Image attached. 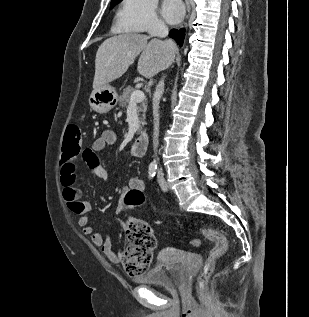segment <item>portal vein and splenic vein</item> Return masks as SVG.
<instances>
[{
	"label": "portal vein and splenic vein",
	"mask_w": 309,
	"mask_h": 317,
	"mask_svg": "<svg viewBox=\"0 0 309 317\" xmlns=\"http://www.w3.org/2000/svg\"><path fill=\"white\" fill-rule=\"evenodd\" d=\"M145 99V95L141 90H135L131 94L129 106L142 102Z\"/></svg>",
	"instance_id": "18ae733b"
}]
</instances>
